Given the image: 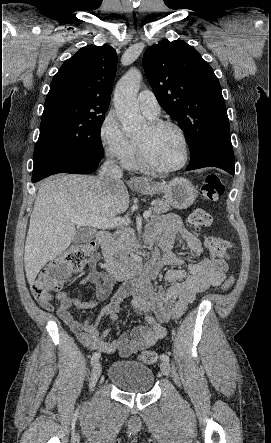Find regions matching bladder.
<instances>
[{"mask_svg": "<svg viewBox=\"0 0 271 443\" xmlns=\"http://www.w3.org/2000/svg\"><path fill=\"white\" fill-rule=\"evenodd\" d=\"M107 375L111 383L128 393H147L154 385L152 369L135 360L115 361L109 367Z\"/></svg>", "mask_w": 271, "mask_h": 443, "instance_id": "1", "label": "bladder"}]
</instances>
